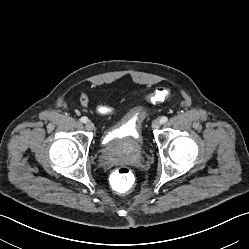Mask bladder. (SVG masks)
<instances>
[{
    "mask_svg": "<svg viewBox=\"0 0 249 249\" xmlns=\"http://www.w3.org/2000/svg\"><path fill=\"white\" fill-rule=\"evenodd\" d=\"M130 113L138 117L146 114L139 107L133 108ZM102 147L107 160L123 150L142 151L144 142L141 133V123L129 125L126 122H121L106 133Z\"/></svg>",
    "mask_w": 249,
    "mask_h": 249,
    "instance_id": "31cf9c89",
    "label": "bladder"
}]
</instances>
